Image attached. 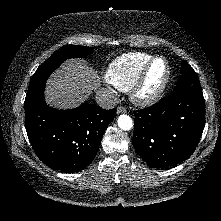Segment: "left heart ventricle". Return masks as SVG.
<instances>
[{"label":"left heart ventricle","instance_id":"obj_1","mask_svg":"<svg viewBox=\"0 0 221 221\" xmlns=\"http://www.w3.org/2000/svg\"><path fill=\"white\" fill-rule=\"evenodd\" d=\"M165 73H166L165 62L163 60H157L156 62H154L147 76L144 91L145 92L154 91L163 80Z\"/></svg>","mask_w":221,"mask_h":221}]
</instances>
